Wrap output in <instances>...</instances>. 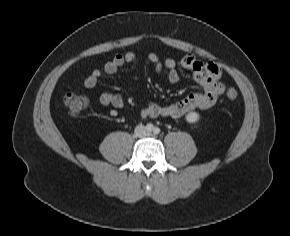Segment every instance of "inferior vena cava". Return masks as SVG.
<instances>
[{
	"mask_svg": "<svg viewBox=\"0 0 290 236\" xmlns=\"http://www.w3.org/2000/svg\"><path fill=\"white\" fill-rule=\"evenodd\" d=\"M135 134L138 137H143V136H147L148 132L146 130V128L143 125H139L135 128Z\"/></svg>",
	"mask_w": 290,
	"mask_h": 236,
	"instance_id": "obj_1",
	"label": "inferior vena cava"
}]
</instances>
